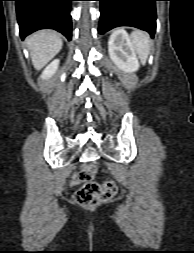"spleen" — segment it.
I'll list each match as a JSON object with an SVG mask.
<instances>
[{
  "label": "spleen",
  "instance_id": "obj_1",
  "mask_svg": "<svg viewBox=\"0 0 194 253\" xmlns=\"http://www.w3.org/2000/svg\"><path fill=\"white\" fill-rule=\"evenodd\" d=\"M131 43L142 64H145L150 51L149 35L140 30H135L130 35Z\"/></svg>",
  "mask_w": 194,
  "mask_h": 253
}]
</instances>
